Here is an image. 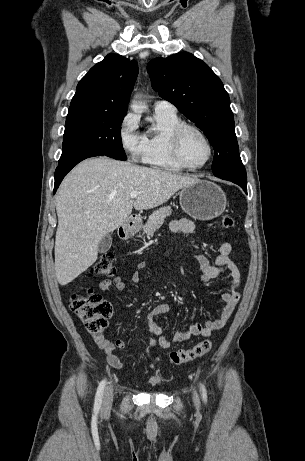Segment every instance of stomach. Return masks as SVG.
I'll list each match as a JSON object with an SVG mask.
<instances>
[{"label":"stomach","mask_w":305,"mask_h":461,"mask_svg":"<svg viewBox=\"0 0 305 461\" xmlns=\"http://www.w3.org/2000/svg\"><path fill=\"white\" fill-rule=\"evenodd\" d=\"M181 208L192 218L211 220L221 215L227 205L226 195L215 183L208 180H197L183 187L179 193ZM139 227L125 228L132 234Z\"/></svg>","instance_id":"obj_1"}]
</instances>
